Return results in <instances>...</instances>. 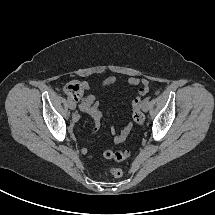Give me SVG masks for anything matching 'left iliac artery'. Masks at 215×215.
<instances>
[{
  "label": "left iliac artery",
  "instance_id": "left-iliac-artery-1",
  "mask_svg": "<svg viewBox=\"0 0 215 215\" xmlns=\"http://www.w3.org/2000/svg\"><path fill=\"white\" fill-rule=\"evenodd\" d=\"M150 98H151L150 96H148V97H146V98H143V99L139 102L138 107H139V108H142L143 105H144L147 101L150 100Z\"/></svg>",
  "mask_w": 215,
  "mask_h": 215
}]
</instances>
